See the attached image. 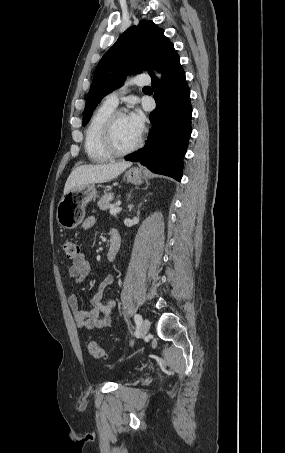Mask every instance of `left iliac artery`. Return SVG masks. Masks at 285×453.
Instances as JSON below:
<instances>
[{"label": "left iliac artery", "instance_id": "obj_1", "mask_svg": "<svg viewBox=\"0 0 285 453\" xmlns=\"http://www.w3.org/2000/svg\"><path fill=\"white\" fill-rule=\"evenodd\" d=\"M134 320L137 325H140L142 323V316L140 314H136L134 316Z\"/></svg>", "mask_w": 285, "mask_h": 453}]
</instances>
